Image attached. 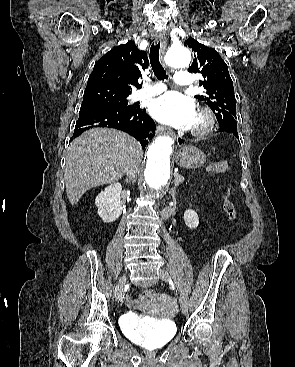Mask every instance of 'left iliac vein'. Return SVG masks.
Returning <instances> with one entry per match:
<instances>
[{
    "instance_id": "obj_1",
    "label": "left iliac vein",
    "mask_w": 295,
    "mask_h": 367,
    "mask_svg": "<svg viewBox=\"0 0 295 367\" xmlns=\"http://www.w3.org/2000/svg\"><path fill=\"white\" fill-rule=\"evenodd\" d=\"M159 277L163 281H168L169 278H170L168 272L163 268H161L159 270ZM177 290L180 294V307H181V310H182L183 313H186L187 309H188L187 301H186V298L184 297V294H183V291H182L181 287L178 284H177Z\"/></svg>"
}]
</instances>
